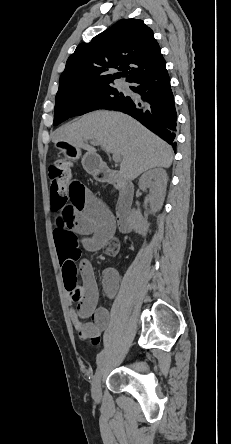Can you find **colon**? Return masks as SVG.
<instances>
[{"label": "colon", "instance_id": "5ec220e1", "mask_svg": "<svg viewBox=\"0 0 231 444\" xmlns=\"http://www.w3.org/2000/svg\"><path fill=\"white\" fill-rule=\"evenodd\" d=\"M50 180L52 197L58 200L66 199L74 182L70 165L66 160L60 159L53 163L50 167Z\"/></svg>", "mask_w": 231, "mask_h": 444}]
</instances>
